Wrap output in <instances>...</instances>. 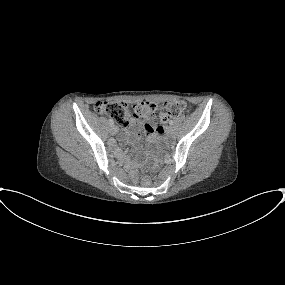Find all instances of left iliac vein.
<instances>
[{"label": "left iliac vein", "instance_id": "1", "mask_svg": "<svg viewBox=\"0 0 285 285\" xmlns=\"http://www.w3.org/2000/svg\"><path fill=\"white\" fill-rule=\"evenodd\" d=\"M166 134L169 136V137H173L174 136V130L171 126L167 127L166 129Z\"/></svg>", "mask_w": 285, "mask_h": 285}]
</instances>
